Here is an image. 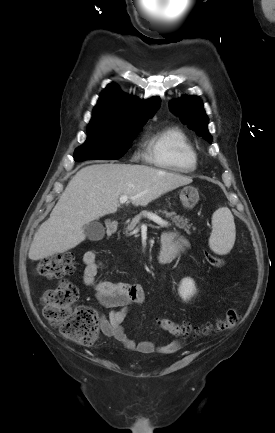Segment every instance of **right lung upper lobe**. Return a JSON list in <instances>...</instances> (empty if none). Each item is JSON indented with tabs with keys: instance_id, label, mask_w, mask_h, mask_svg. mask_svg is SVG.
Wrapping results in <instances>:
<instances>
[{
	"instance_id": "cb5924a9",
	"label": "right lung upper lobe",
	"mask_w": 275,
	"mask_h": 433,
	"mask_svg": "<svg viewBox=\"0 0 275 433\" xmlns=\"http://www.w3.org/2000/svg\"><path fill=\"white\" fill-rule=\"evenodd\" d=\"M161 103L160 98L140 100L128 96L112 83L101 93L90 122L126 124L147 122Z\"/></svg>"
}]
</instances>
